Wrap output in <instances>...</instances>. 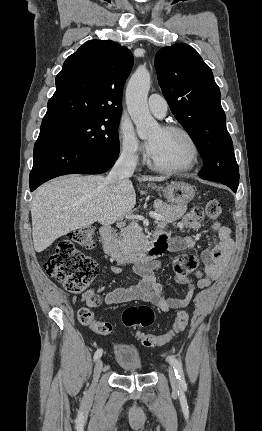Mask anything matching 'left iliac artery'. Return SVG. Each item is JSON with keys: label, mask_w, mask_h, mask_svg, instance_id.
<instances>
[{"label": "left iliac artery", "mask_w": 262, "mask_h": 431, "mask_svg": "<svg viewBox=\"0 0 262 431\" xmlns=\"http://www.w3.org/2000/svg\"><path fill=\"white\" fill-rule=\"evenodd\" d=\"M169 361L171 362L173 369L175 371L176 377L179 380V384L182 387L186 386L185 383V378H184V372L182 369V365L181 362L179 360H177L176 358H174L173 356H168Z\"/></svg>", "instance_id": "obj_1"}]
</instances>
